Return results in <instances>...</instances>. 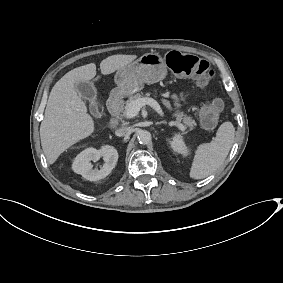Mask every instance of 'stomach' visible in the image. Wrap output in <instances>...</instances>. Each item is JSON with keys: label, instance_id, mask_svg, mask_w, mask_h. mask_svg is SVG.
I'll use <instances>...</instances> for the list:
<instances>
[{"label": "stomach", "instance_id": "obj_1", "mask_svg": "<svg viewBox=\"0 0 283 283\" xmlns=\"http://www.w3.org/2000/svg\"><path fill=\"white\" fill-rule=\"evenodd\" d=\"M167 68L157 53H146L140 58L119 68L115 75L118 96H130L143 88L144 83L153 84L163 80Z\"/></svg>", "mask_w": 283, "mask_h": 283}]
</instances>
